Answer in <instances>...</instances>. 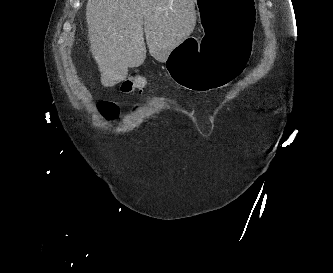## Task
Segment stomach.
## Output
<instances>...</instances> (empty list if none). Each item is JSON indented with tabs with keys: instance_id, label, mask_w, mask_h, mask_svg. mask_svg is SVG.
<instances>
[{
	"instance_id": "stomach-1",
	"label": "stomach",
	"mask_w": 333,
	"mask_h": 273,
	"mask_svg": "<svg viewBox=\"0 0 333 273\" xmlns=\"http://www.w3.org/2000/svg\"><path fill=\"white\" fill-rule=\"evenodd\" d=\"M202 39L185 38L166 60L167 70L180 86L208 91L226 86L242 75L252 51L257 23L255 0H196ZM197 44V49L196 48Z\"/></svg>"
}]
</instances>
